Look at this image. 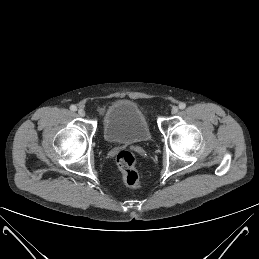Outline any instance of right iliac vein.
I'll return each instance as SVG.
<instances>
[{"mask_svg":"<svg viewBox=\"0 0 259 259\" xmlns=\"http://www.w3.org/2000/svg\"><path fill=\"white\" fill-rule=\"evenodd\" d=\"M78 115L81 116V117H84L85 116V111L83 109H79L78 110Z\"/></svg>","mask_w":259,"mask_h":259,"instance_id":"right-iliac-vein-1","label":"right iliac vein"}]
</instances>
